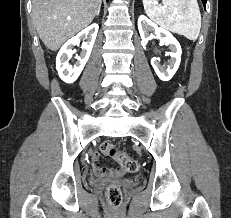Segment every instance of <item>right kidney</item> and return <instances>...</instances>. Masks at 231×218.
I'll return each mask as SVG.
<instances>
[{
    "label": "right kidney",
    "mask_w": 231,
    "mask_h": 218,
    "mask_svg": "<svg viewBox=\"0 0 231 218\" xmlns=\"http://www.w3.org/2000/svg\"><path fill=\"white\" fill-rule=\"evenodd\" d=\"M99 26L94 23L82 30L76 36L69 39L60 49L56 58V69L59 77L66 83H73L81 74L86 62L91 54ZM85 37L81 48L82 52L75 58L77 61L71 65L68 63L69 58L74 54L72 50L75 45H79L80 38Z\"/></svg>",
    "instance_id": "obj_1"
}]
</instances>
